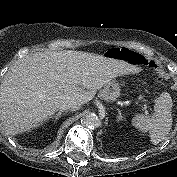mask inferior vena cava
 Wrapping results in <instances>:
<instances>
[{
    "label": "inferior vena cava",
    "instance_id": "1",
    "mask_svg": "<svg viewBox=\"0 0 177 177\" xmlns=\"http://www.w3.org/2000/svg\"><path fill=\"white\" fill-rule=\"evenodd\" d=\"M80 106L81 104L77 101H65L59 106V109L60 111H76L80 108Z\"/></svg>",
    "mask_w": 177,
    "mask_h": 177
}]
</instances>
